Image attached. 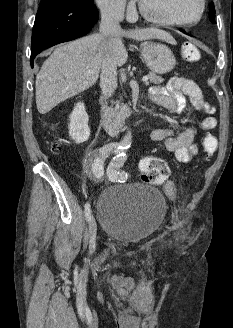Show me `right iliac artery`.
Masks as SVG:
<instances>
[{
  "mask_svg": "<svg viewBox=\"0 0 233 328\" xmlns=\"http://www.w3.org/2000/svg\"><path fill=\"white\" fill-rule=\"evenodd\" d=\"M127 147L123 144L106 145L95 150L87 156L85 160V168L88 176L95 182H99L104 175L103 163L110 155L111 151L115 154L123 153ZM84 213L87 221L91 218L90 204L86 203Z\"/></svg>",
  "mask_w": 233,
  "mask_h": 328,
  "instance_id": "1",
  "label": "right iliac artery"
}]
</instances>
